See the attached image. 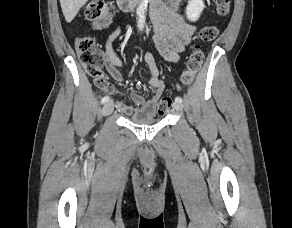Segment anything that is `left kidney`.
I'll list each match as a JSON object with an SVG mask.
<instances>
[{"label":"left kidney","mask_w":292,"mask_h":228,"mask_svg":"<svg viewBox=\"0 0 292 228\" xmlns=\"http://www.w3.org/2000/svg\"><path fill=\"white\" fill-rule=\"evenodd\" d=\"M205 5L203 0H189L186 7V16L190 21H197Z\"/></svg>","instance_id":"left-kidney-1"}]
</instances>
